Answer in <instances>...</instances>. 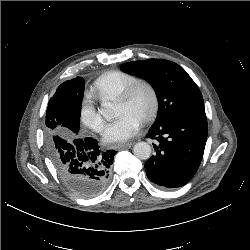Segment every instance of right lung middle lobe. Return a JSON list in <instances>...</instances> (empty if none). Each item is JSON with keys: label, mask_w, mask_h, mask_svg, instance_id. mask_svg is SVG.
I'll return each instance as SVG.
<instances>
[{"label": "right lung middle lobe", "mask_w": 250, "mask_h": 250, "mask_svg": "<svg viewBox=\"0 0 250 250\" xmlns=\"http://www.w3.org/2000/svg\"><path fill=\"white\" fill-rule=\"evenodd\" d=\"M84 88L82 77L65 81L48 102L44 133L51 158L58 154L63 139L78 136Z\"/></svg>", "instance_id": "obj_1"}]
</instances>
